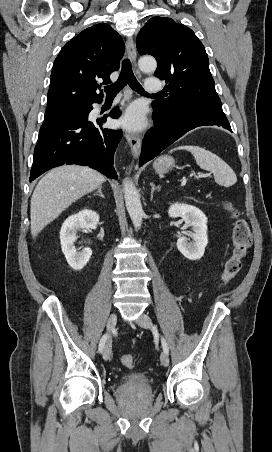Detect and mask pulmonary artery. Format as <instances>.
<instances>
[{"label": "pulmonary artery", "instance_id": "pulmonary-artery-1", "mask_svg": "<svg viewBox=\"0 0 272 452\" xmlns=\"http://www.w3.org/2000/svg\"><path fill=\"white\" fill-rule=\"evenodd\" d=\"M163 89V84L158 78H148L146 80V91L149 93H158Z\"/></svg>", "mask_w": 272, "mask_h": 452}]
</instances>
